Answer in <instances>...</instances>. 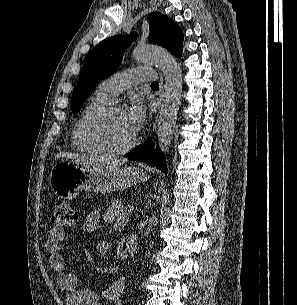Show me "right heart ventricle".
<instances>
[{"label": "right heart ventricle", "mask_w": 297, "mask_h": 305, "mask_svg": "<svg viewBox=\"0 0 297 305\" xmlns=\"http://www.w3.org/2000/svg\"><path fill=\"white\" fill-rule=\"evenodd\" d=\"M110 100L101 95L96 90L88 99L86 104L80 111L72 130V145L73 148L80 152L97 153L98 151L90 146L83 138L81 127L84 120L94 111L110 104Z\"/></svg>", "instance_id": "e07e8e85"}]
</instances>
